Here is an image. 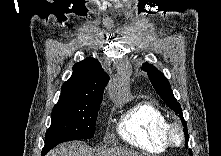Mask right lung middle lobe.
<instances>
[{
    "label": "right lung middle lobe",
    "instance_id": "dd1d6c3e",
    "mask_svg": "<svg viewBox=\"0 0 221 156\" xmlns=\"http://www.w3.org/2000/svg\"><path fill=\"white\" fill-rule=\"evenodd\" d=\"M102 99L92 98L72 103H57L52 111L51 126L45 135L42 156L59 143L92 138Z\"/></svg>",
    "mask_w": 221,
    "mask_h": 156
}]
</instances>
